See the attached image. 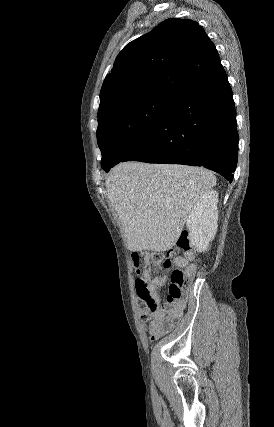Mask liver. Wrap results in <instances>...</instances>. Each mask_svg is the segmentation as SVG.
I'll return each mask as SVG.
<instances>
[{
  "label": "liver",
  "mask_w": 274,
  "mask_h": 427,
  "mask_svg": "<svg viewBox=\"0 0 274 427\" xmlns=\"http://www.w3.org/2000/svg\"><path fill=\"white\" fill-rule=\"evenodd\" d=\"M105 186L128 249L166 251L176 245L187 215L216 186V178L205 168L126 162L111 170Z\"/></svg>",
  "instance_id": "obj_1"
}]
</instances>
